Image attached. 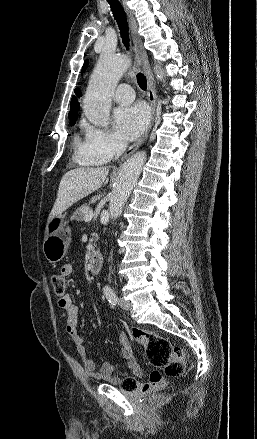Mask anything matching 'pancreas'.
<instances>
[{
  "instance_id": "1",
  "label": "pancreas",
  "mask_w": 257,
  "mask_h": 439,
  "mask_svg": "<svg viewBox=\"0 0 257 439\" xmlns=\"http://www.w3.org/2000/svg\"><path fill=\"white\" fill-rule=\"evenodd\" d=\"M89 212V206L87 204H83L73 213L71 220L82 221L84 220L85 215Z\"/></svg>"
}]
</instances>
